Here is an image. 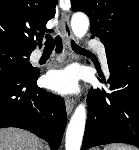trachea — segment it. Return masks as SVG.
I'll use <instances>...</instances> for the list:
<instances>
[{"label": "trachea", "mask_w": 139, "mask_h": 150, "mask_svg": "<svg viewBox=\"0 0 139 150\" xmlns=\"http://www.w3.org/2000/svg\"><path fill=\"white\" fill-rule=\"evenodd\" d=\"M54 41L53 38L50 35L46 36V42H45V48L46 49H53L54 48ZM72 45V49L76 52H84V53H88L87 50L79 47L74 41H72L71 43Z\"/></svg>", "instance_id": "obj_1"}]
</instances>
